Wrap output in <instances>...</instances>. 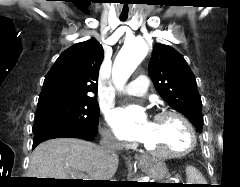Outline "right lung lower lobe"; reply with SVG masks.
Returning a JSON list of instances; mask_svg holds the SVG:
<instances>
[{"mask_svg":"<svg viewBox=\"0 0 240 187\" xmlns=\"http://www.w3.org/2000/svg\"><path fill=\"white\" fill-rule=\"evenodd\" d=\"M97 132L98 129L82 132L61 126H51L34 133L33 148L43 141L60 137L80 138L90 141L93 140Z\"/></svg>","mask_w":240,"mask_h":187,"instance_id":"obj_1","label":"right lung lower lobe"}]
</instances>
